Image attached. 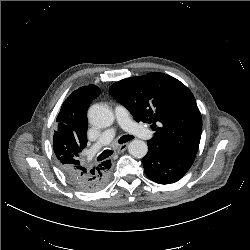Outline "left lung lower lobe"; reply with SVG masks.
<instances>
[{"label":"left lung lower lobe","instance_id":"left-lung-lower-lobe-1","mask_svg":"<svg viewBox=\"0 0 250 250\" xmlns=\"http://www.w3.org/2000/svg\"><path fill=\"white\" fill-rule=\"evenodd\" d=\"M148 153L142 159L146 176L159 184L180 180L190 169L195 155L177 152L148 141Z\"/></svg>","mask_w":250,"mask_h":250}]
</instances>
